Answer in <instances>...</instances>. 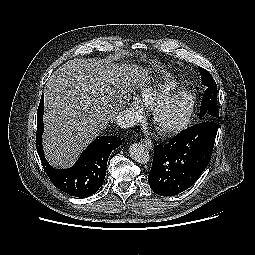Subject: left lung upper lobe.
I'll return each mask as SVG.
<instances>
[{
  "mask_svg": "<svg viewBox=\"0 0 255 255\" xmlns=\"http://www.w3.org/2000/svg\"><path fill=\"white\" fill-rule=\"evenodd\" d=\"M202 83L207 87L204 92L201 108L200 119L202 121H216L219 117V109L217 105V85L210 73L199 67Z\"/></svg>",
  "mask_w": 255,
  "mask_h": 255,
  "instance_id": "left-lung-upper-lobe-1",
  "label": "left lung upper lobe"
}]
</instances>
